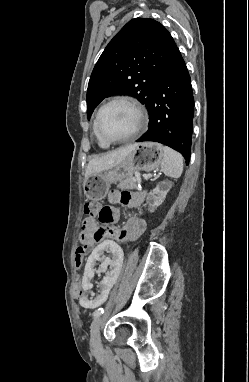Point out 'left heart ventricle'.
Segmentation results:
<instances>
[{"label": "left heart ventricle", "mask_w": 249, "mask_h": 382, "mask_svg": "<svg viewBox=\"0 0 249 382\" xmlns=\"http://www.w3.org/2000/svg\"><path fill=\"white\" fill-rule=\"evenodd\" d=\"M137 122L133 108L124 103L108 106L101 114L100 128L108 138H121L131 134Z\"/></svg>", "instance_id": "b2bd125f"}]
</instances>
